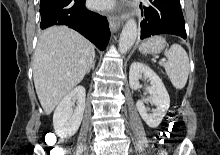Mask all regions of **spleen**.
<instances>
[{
  "mask_svg": "<svg viewBox=\"0 0 220 155\" xmlns=\"http://www.w3.org/2000/svg\"><path fill=\"white\" fill-rule=\"evenodd\" d=\"M167 61L160 63L166 71L172 85L181 90L185 87L189 75V58L186 51L179 44H173L164 52Z\"/></svg>",
  "mask_w": 220,
  "mask_h": 155,
  "instance_id": "spleen-1",
  "label": "spleen"
}]
</instances>
